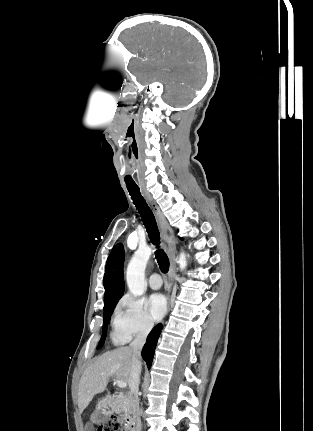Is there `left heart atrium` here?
<instances>
[{
	"label": "left heart atrium",
	"instance_id": "obj_1",
	"mask_svg": "<svg viewBox=\"0 0 313 431\" xmlns=\"http://www.w3.org/2000/svg\"><path fill=\"white\" fill-rule=\"evenodd\" d=\"M149 312L154 320H160L166 312V299L161 294H152L147 300Z\"/></svg>",
	"mask_w": 313,
	"mask_h": 431
}]
</instances>
